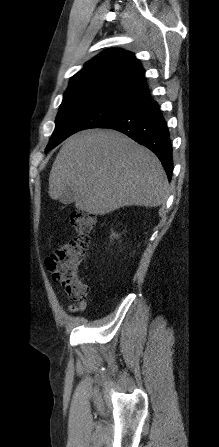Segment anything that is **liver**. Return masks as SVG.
I'll return each mask as SVG.
<instances>
[{"instance_id": "liver-1", "label": "liver", "mask_w": 219, "mask_h": 447, "mask_svg": "<svg viewBox=\"0 0 219 447\" xmlns=\"http://www.w3.org/2000/svg\"><path fill=\"white\" fill-rule=\"evenodd\" d=\"M159 159L122 133L91 129L69 137L49 176L53 200L74 194L78 210L105 215L124 206L156 207L169 196Z\"/></svg>"}]
</instances>
